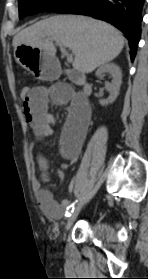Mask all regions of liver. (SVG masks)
Wrapping results in <instances>:
<instances>
[{"mask_svg": "<svg viewBox=\"0 0 148 279\" xmlns=\"http://www.w3.org/2000/svg\"><path fill=\"white\" fill-rule=\"evenodd\" d=\"M60 41L74 55L73 68L91 73L116 58L124 47V38L112 25L78 15H57L39 21L16 34L13 46L39 48L55 57L53 41Z\"/></svg>", "mask_w": 148, "mask_h": 279, "instance_id": "liver-1", "label": "liver"}]
</instances>
